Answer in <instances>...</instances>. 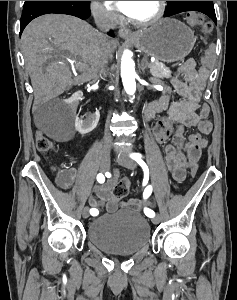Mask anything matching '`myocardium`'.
I'll list each match as a JSON object with an SVG mask.
<instances>
[{
	"instance_id": "myocardium-1",
	"label": "myocardium",
	"mask_w": 237,
	"mask_h": 300,
	"mask_svg": "<svg viewBox=\"0 0 237 300\" xmlns=\"http://www.w3.org/2000/svg\"><path fill=\"white\" fill-rule=\"evenodd\" d=\"M166 11V1H156V11L150 18L146 20H135L130 19V22L141 28H146L155 25L158 23L164 16Z\"/></svg>"
}]
</instances>
